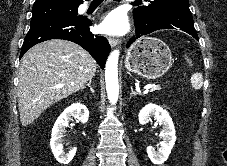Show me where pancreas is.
<instances>
[{"label":"pancreas","mask_w":227,"mask_h":166,"mask_svg":"<svg viewBox=\"0 0 227 166\" xmlns=\"http://www.w3.org/2000/svg\"><path fill=\"white\" fill-rule=\"evenodd\" d=\"M160 89H161L160 85H155L154 87L151 88L150 91L153 92L155 90H160Z\"/></svg>","instance_id":"cf45deb5"}]
</instances>
